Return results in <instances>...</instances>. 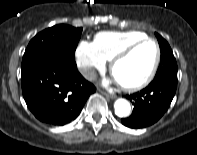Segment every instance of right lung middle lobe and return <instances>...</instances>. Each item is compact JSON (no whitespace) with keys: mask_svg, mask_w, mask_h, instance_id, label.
<instances>
[{"mask_svg":"<svg viewBox=\"0 0 197 155\" xmlns=\"http://www.w3.org/2000/svg\"><path fill=\"white\" fill-rule=\"evenodd\" d=\"M82 28L69 25H55L38 33L28 44L22 59L24 73L48 57L62 56L75 59V49L81 37Z\"/></svg>","mask_w":197,"mask_h":155,"instance_id":"1","label":"right lung middle lobe"}]
</instances>
